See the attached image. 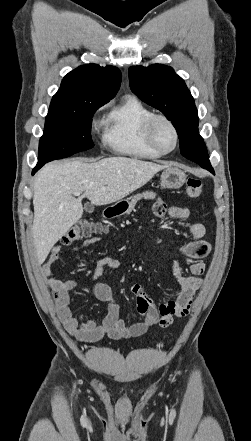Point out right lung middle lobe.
I'll return each mask as SVG.
<instances>
[{
  "label": "right lung middle lobe",
  "instance_id": "obj_1",
  "mask_svg": "<svg viewBox=\"0 0 251 441\" xmlns=\"http://www.w3.org/2000/svg\"><path fill=\"white\" fill-rule=\"evenodd\" d=\"M109 100L88 98L72 107H50L39 143V162L69 157L94 147L92 116Z\"/></svg>",
  "mask_w": 251,
  "mask_h": 441
}]
</instances>
